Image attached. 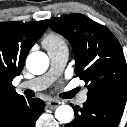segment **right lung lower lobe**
Wrapping results in <instances>:
<instances>
[{
	"label": "right lung lower lobe",
	"instance_id": "obj_1",
	"mask_svg": "<svg viewBox=\"0 0 127 127\" xmlns=\"http://www.w3.org/2000/svg\"><path fill=\"white\" fill-rule=\"evenodd\" d=\"M44 107L39 98H24L0 118V127H34Z\"/></svg>",
	"mask_w": 127,
	"mask_h": 127
}]
</instances>
